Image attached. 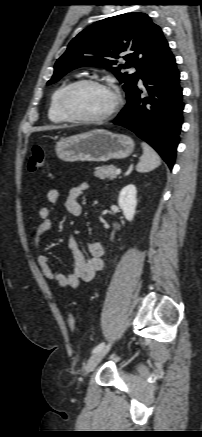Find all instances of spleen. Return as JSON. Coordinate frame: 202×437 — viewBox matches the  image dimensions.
I'll return each instance as SVG.
<instances>
[{"mask_svg":"<svg viewBox=\"0 0 202 437\" xmlns=\"http://www.w3.org/2000/svg\"><path fill=\"white\" fill-rule=\"evenodd\" d=\"M141 146L143 155L140 157V161L136 166L137 172H150L160 166L161 160L156 151L145 142H142Z\"/></svg>","mask_w":202,"mask_h":437,"instance_id":"obj_1","label":"spleen"}]
</instances>
